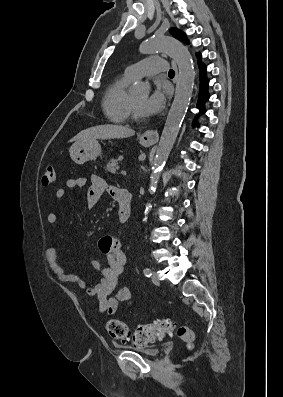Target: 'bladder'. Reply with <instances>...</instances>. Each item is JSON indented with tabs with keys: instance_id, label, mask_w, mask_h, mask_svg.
<instances>
[{
	"instance_id": "bladder-1",
	"label": "bladder",
	"mask_w": 283,
	"mask_h": 397,
	"mask_svg": "<svg viewBox=\"0 0 283 397\" xmlns=\"http://www.w3.org/2000/svg\"><path fill=\"white\" fill-rule=\"evenodd\" d=\"M122 348L140 353L144 356L153 357L159 352L158 348L152 346H136V345H125Z\"/></svg>"
}]
</instances>
